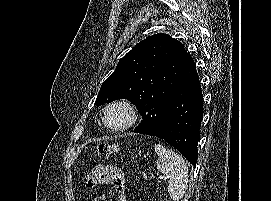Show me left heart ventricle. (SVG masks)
Masks as SVG:
<instances>
[{
    "label": "left heart ventricle",
    "instance_id": "left-heart-ventricle-1",
    "mask_svg": "<svg viewBox=\"0 0 271 201\" xmlns=\"http://www.w3.org/2000/svg\"><path fill=\"white\" fill-rule=\"evenodd\" d=\"M106 119L111 126L119 127L127 121L128 116L123 108L116 107L109 110Z\"/></svg>",
    "mask_w": 271,
    "mask_h": 201
}]
</instances>
